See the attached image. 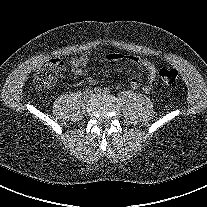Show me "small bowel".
Listing matches in <instances>:
<instances>
[{"instance_id": "small-bowel-1", "label": "small bowel", "mask_w": 207, "mask_h": 207, "mask_svg": "<svg viewBox=\"0 0 207 207\" xmlns=\"http://www.w3.org/2000/svg\"><path fill=\"white\" fill-rule=\"evenodd\" d=\"M124 57L125 56L120 53H109L105 56V60L117 61V60L123 59ZM128 58H130L138 66L146 70L147 81L143 86V91L147 94L150 93L152 91V86H153V83L157 75V69L155 65L150 60L145 59V58H140V57H128ZM88 59L89 57L86 54L73 58L71 60L72 72L77 76L83 75L85 73V66L88 62ZM89 83L95 84L96 80L94 78H89ZM129 84L133 89L139 88V81L136 78L130 79Z\"/></svg>"}]
</instances>
